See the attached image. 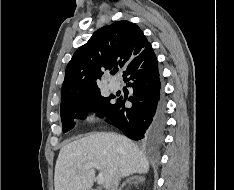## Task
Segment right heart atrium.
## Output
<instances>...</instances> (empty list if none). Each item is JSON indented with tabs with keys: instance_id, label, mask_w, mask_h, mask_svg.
Listing matches in <instances>:
<instances>
[{
	"instance_id": "obj_1",
	"label": "right heart atrium",
	"mask_w": 234,
	"mask_h": 190,
	"mask_svg": "<svg viewBox=\"0 0 234 190\" xmlns=\"http://www.w3.org/2000/svg\"><path fill=\"white\" fill-rule=\"evenodd\" d=\"M91 116H92L91 111H87V112H86V117H87V118H91Z\"/></svg>"
}]
</instances>
